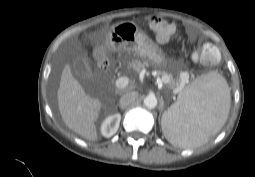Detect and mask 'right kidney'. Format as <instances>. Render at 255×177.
Instances as JSON below:
<instances>
[{"label": "right kidney", "mask_w": 255, "mask_h": 177, "mask_svg": "<svg viewBox=\"0 0 255 177\" xmlns=\"http://www.w3.org/2000/svg\"><path fill=\"white\" fill-rule=\"evenodd\" d=\"M121 121V115L119 113L108 116L101 125V133L104 137L113 136L118 128Z\"/></svg>", "instance_id": "obj_1"}]
</instances>
